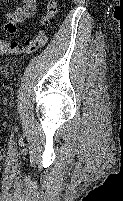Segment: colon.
<instances>
[{"instance_id": "obj_1", "label": "colon", "mask_w": 123, "mask_h": 201, "mask_svg": "<svg viewBox=\"0 0 123 201\" xmlns=\"http://www.w3.org/2000/svg\"><path fill=\"white\" fill-rule=\"evenodd\" d=\"M55 13V1L48 0L45 12L38 20L41 29L36 33V35L29 38L23 47L16 42L0 40V55L17 56L21 54H31L43 48L47 43V27L50 25Z\"/></svg>"}]
</instances>
